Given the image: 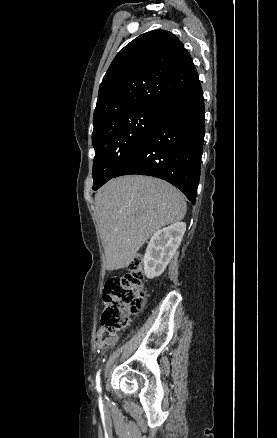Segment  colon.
<instances>
[{
	"instance_id": "1",
	"label": "colon",
	"mask_w": 277,
	"mask_h": 438,
	"mask_svg": "<svg viewBox=\"0 0 277 438\" xmlns=\"http://www.w3.org/2000/svg\"><path fill=\"white\" fill-rule=\"evenodd\" d=\"M131 275L109 279L108 286H102L99 292L105 295L109 305L99 321V332L125 329L133 315L139 314L146 290L141 283L142 267L139 261L130 264Z\"/></svg>"
}]
</instances>
